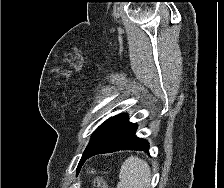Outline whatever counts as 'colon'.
Returning a JSON list of instances; mask_svg holds the SVG:
<instances>
[{
    "label": "colon",
    "instance_id": "5ec220e1",
    "mask_svg": "<svg viewBox=\"0 0 224 188\" xmlns=\"http://www.w3.org/2000/svg\"><path fill=\"white\" fill-rule=\"evenodd\" d=\"M90 172H92V171H90ZM96 183H97L98 185H100V186H104V183L101 182V181H99V180H96Z\"/></svg>",
    "mask_w": 224,
    "mask_h": 188
}]
</instances>
